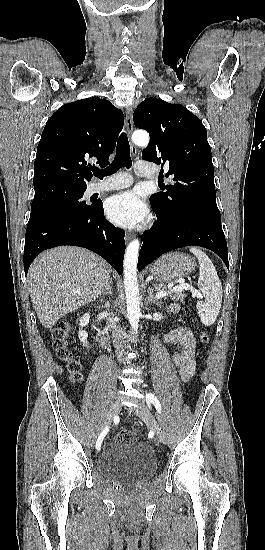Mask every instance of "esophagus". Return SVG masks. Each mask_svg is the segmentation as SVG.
<instances>
[{"instance_id": "esophagus-1", "label": "esophagus", "mask_w": 265, "mask_h": 550, "mask_svg": "<svg viewBox=\"0 0 265 550\" xmlns=\"http://www.w3.org/2000/svg\"><path fill=\"white\" fill-rule=\"evenodd\" d=\"M125 124H126L127 134L130 136L133 131V110L130 106H128L125 111ZM131 152L133 155H136L137 153V149L132 143H131ZM125 238L127 241H129L132 238V234L130 232H127Z\"/></svg>"}]
</instances>
